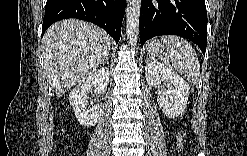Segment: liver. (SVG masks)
<instances>
[{"label":"liver","mask_w":247,"mask_h":156,"mask_svg":"<svg viewBox=\"0 0 247 156\" xmlns=\"http://www.w3.org/2000/svg\"><path fill=\"white\" fill-rule=\"evenodd\" d=\"M44 71L57 98L96 71L109 53L111 38L101 28L77 19L49 27L42 39Z\"/></svg>","instance_id":"liver-1"}]
</instances>
